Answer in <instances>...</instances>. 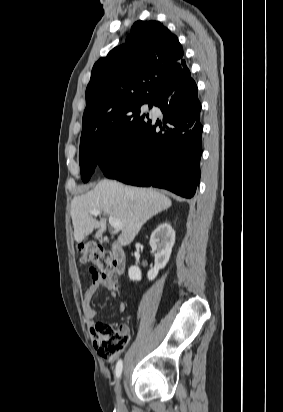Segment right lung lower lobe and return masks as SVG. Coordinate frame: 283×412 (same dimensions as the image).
Instances as JSON below:
<instances>
[{
  "label": "right lung lower lobe",
  "mask_w": 283,
  "mask_h": 412,
  "mask_svg": "<svg viewBox=\"0 0 283 412\" xmlns=\"http://www.w3.org/2000/svg\"><path fill=\"white\" fill-rule=\"evenodd\" d=\"M163 125L147 124L127 154L103 167L105 176L136 186H154L191 198L200 180L201 104L189 77L166 87L154 104Z\"/></svg>",
  "instance_id": "98d812e1"
}]
</instances>
